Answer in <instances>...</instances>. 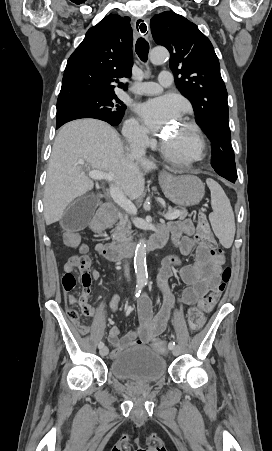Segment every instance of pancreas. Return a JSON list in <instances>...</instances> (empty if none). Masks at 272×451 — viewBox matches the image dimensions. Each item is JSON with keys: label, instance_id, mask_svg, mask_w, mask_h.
Returning a JSON list of instances; mask_svg holds the SVG:
<instances>
[{"label": "pancreas", "instance_id": "1", "mask_svg": "<svg viewBox=\"0 0 272 451\" xmlns=\"http://www.w3.org/2000/svg\"><path fill=\"white\" fill-rule=\"evenodd\" d=\"M168 212H170V214H173V212H179V220H185L188 214L185 208H182V210H176V208H171V206H168ZM131 233V222L127 214H120V220L118 224H116V227H114V229H111L113 245H118V247H120V245H126V243H130V241H132L133 239Z\"/></svg>", "mask_w": 272, "mask_h": 451}]
</instances>
